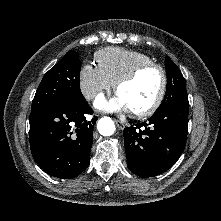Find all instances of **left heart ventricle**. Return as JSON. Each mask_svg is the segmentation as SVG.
Masks as SVG:
<instances>
[{
  "instance_id": "1",
  "label": "left heart ventricle",
  "mask_w": 221,
  "mask_h": 221,
  "mask_svg": "<svg viewBox=\"0 0 221 221\" xmlns=\"http://www.w3.org/2000/svg\"><path fill=\"white\" fill-rule=\"evenodd\" d=\"M161 87V75L156 69L142 72L135 80L122 86L118 94L130 111L143 110L156 99Z\"/></svg>"
}]
</instances>
